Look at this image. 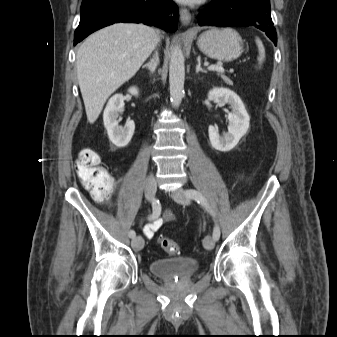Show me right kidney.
<instances>
[{
  "label": "right kidney",
  "instance_id": "obj_1",
  "mask_svg": "<svg viewBox=\"0 0 337 337\" xmlns=\"http://www.w3.org/2000/svg\"><path fill=\"white\" fill-rule=\"evenodd\" d=\"M128 92L133 96H138V89L132 87ZM124 97L122 94L112 96L104 110L103 121L107 130L110 141L118 148H123L130 142L134 130L135 123L133 120H127L125 127L118 125L119 114L123 112Z\"/></svg>",
  "mask_w": 337,
  "mask_h": 337
}]
</instances>
